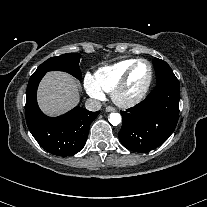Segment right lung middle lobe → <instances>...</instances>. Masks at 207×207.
<instances>
[{"instance_id":"obj_1","label":"right lung middle lobe","mask_w":207,"mask_h":207,"mask_svg":"<svg viewBox=\"0 0 207 207\" xmlns=\"http://www.w3.org/2000/svg\"><path fill=\"white\" fill-rule=\"evenodd\" d=\"M80 57L81 55L78 53H68L57 57H51L42 63L33 75L58 70L67 72L77 79H81L82 74L79 69Z\"/></svg>"}]
</instances>
